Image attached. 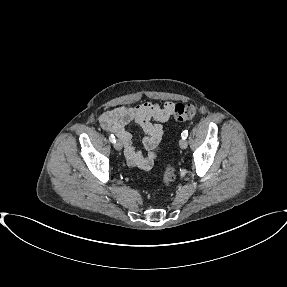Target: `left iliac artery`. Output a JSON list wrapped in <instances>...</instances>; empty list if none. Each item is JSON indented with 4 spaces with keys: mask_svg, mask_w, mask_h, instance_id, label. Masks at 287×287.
Here are the masks:
<instances>
[{
    "mask_svg": "<svg viewBox=\"0 0 287 287\" xmlns=\"http://www.w3.org/2000/svg\"><path fill=\"white\" fill-rule=\"evenodd\" d=\"M187 136H188V131H187V130H184V131L181 133L182 139H186Z\"/></svg>",
    "mask_w": 287,
    "mask_h": 287,
    "instance_id": "left-iliac-artery-1",
    "label": "left iliac artery"
}]
</instances>
